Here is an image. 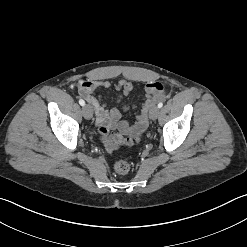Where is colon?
<instances>
[{"mask_svg": "<svg viewBox=\"0 0 247 247\" xmlns=\"http://www.w3.org/2000/svg\"><path fill=\"white\" fill-rule=\"evenodd\" d=\"M114 168L117 173L126 174L130 170V164L124 159H119L115 162Z\"/></svg>", "mask_w": 247, "mask_h": 247, "instance_id": "5ec220e1", "label": "colon"}]
</instances>
